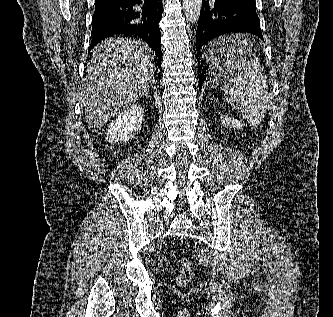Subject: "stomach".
Returning a JSON list of instances; mask_svg holds the SVG:
<instances>
[{
	"label": "stomach",
	"instance_id": "stomach-1",
	"mask_svg": "<svg viewBox=\"0 0 333 317\" xmlns=\"http://www.w3.org/2000/svg\"><path fill=\"white\" fill-rule=\"evenodd\" d=\"M253 52V42L245 41L242 33H217L216 41H208L204 50V62H214L207 75V88H230V82H263L234 81V74L242 71L230 69H253L257 55Z\"/></svg>",
	"mask_w": 333,
	"mask_h": 317
}]
</instances>
